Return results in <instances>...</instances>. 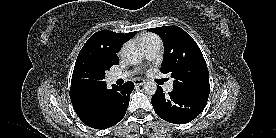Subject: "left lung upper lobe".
<instances>
[{"mask_svg":"<svg viewBox=\"0 0 276 138\" xmlns=\"http://www.w3.org/2000/svg\"><path fill=\"white\" fill-rule=\"evenodd\" d=\"M162 38L164 60L160 71L173 77L175 91L208 99L209 72L203 54L193 38L178 26L149 29Z\"/></svg>","mask_w":276,"mask_h":138,"instance_id":"obj_1","label":"left lung upper lobe"}]
</instances>
